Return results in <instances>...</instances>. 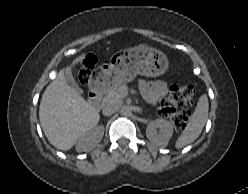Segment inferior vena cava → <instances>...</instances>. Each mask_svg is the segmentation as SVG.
I'll return each mask as SVG.
<instances>
[{
  "label": "inferior vena cava",
  "instance_id": "1",
  "mask_svg": "<svg viewBox=\"0 0 248 194\" xmlns=\"http://www.w3.org/2000/svg\"><path fill=\"white\" fill-rule=\"evenodd\" d=\"M116 111H117V107L116 106H114V105H108V106H106L103 109L102 113H103L104 116H110L113 113H115Z\"/></svg>",
  "mask_w": 248,
  "mask_h": 194
}]
</instances>
